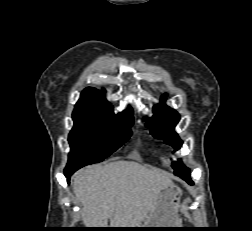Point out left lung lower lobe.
Here are the masks:
<instances>
[{
	"label": "left lung lower lobe",
	"instance_id": "left-lung-lower-lobe-1",
	"mask_svg": "<svg viewBox=\"0 0 252 231\" xmlns=\"http://www.w3.org/2000/svg\"><path fill=\"white\" fill-rule=\"evenodd\" d=\"M180 177L182 179H184L185 181H187L188 183L192 184L191 179H190V173L184 174V175H180Z\"/></svg>",
	"mask_w": 252,
	"mask_h": 231
}]
</instances>
